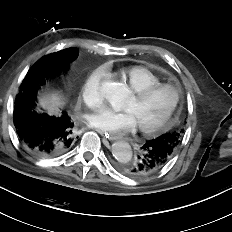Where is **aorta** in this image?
<instances>
[{
	"instance_id": "aorta-1",
	"label": "aorta",
	"mask_w": 232,
	"mask_h": 232,
	"mask_svg": "<svg viewBox=\"0 0 232 232\" xmlns=\"http://www.w3.org/2000/svg\"><path fill=\"white\" fill-rule=\"evenodd\" d=\"M102 90L106 100L115 110L119 111L125 107L129 91L122 83L106 81L102 85ZM112 154L117 161L127 163L132 158V149L129 143L117 141L112 144Z\"/></svg>"
}]
</instances>
